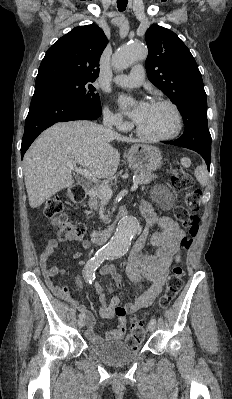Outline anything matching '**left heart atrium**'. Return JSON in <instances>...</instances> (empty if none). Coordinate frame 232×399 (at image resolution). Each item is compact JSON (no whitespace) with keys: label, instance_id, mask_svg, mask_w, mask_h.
<instances>
[{"label":"left heart atrium","instance_id":"1","mask_svg":"<svg viewBox=\"0 0 232 399\" xmlns=\"http://www.w3.org/2000/svg\"><path fill=\"white\" fill-rule=\"evenodd\" d=\"M120 104L128 116L135 122L139 121L148 108V104H141L136 108H131L130 100L126 98L120 99Z\"/></svg>","mask_w":232,"mask_h":399}]
</instances>
